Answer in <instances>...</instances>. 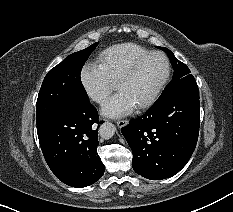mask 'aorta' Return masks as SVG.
<instances>
[{
  "label": "aorta",
  "instance_id": "762f6f07",
  "mask_svg": "<svg viewBox=\"0 0 233 212\" xmlns=\"http://www.w3.org/2000/svg\"><path fill=\"white\" fill-rule=\"evenodd\" d=\"M115 131L116 128L114 124L111 122H105L100 126L99 134L103 139L108 140L114 136Z\"/></svg>",
  "mask_w": 233,
  "mask_h": 212
}]
</instances>
